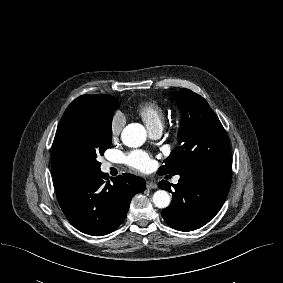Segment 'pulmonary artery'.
I'll return each mask as SVG.
<instances>
[{"mask_svg": "<svg viewBox=\"0 0 283 283\" xmlns=\"http://www.w3.org/2000/svg\"><path fill=\"white\" fill-rule=\"evenodd\" d=\"M161 133H162V128H154V129L150 130V135H151L152 138H158V137H160ZM108 167H109V164H106V165L104 166L105 169H107ZM178 180H179V177H176V178L173 180V182H174V183H177Z\"/></svg>", "mask_w": 283, "mask_h": 283, "instance_id": "1", "label": "pulmonary artery"}]
</instances>
